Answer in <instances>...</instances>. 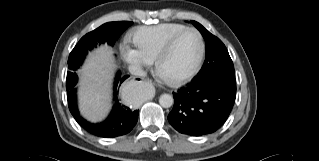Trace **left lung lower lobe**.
Instances as JSON below:
<instances>
[{"label":"left lung lower lobe","instance_id":"1","mask_svg":"<svg viewBox=\"0 0 319 161\" xmlns=\"http://www.w3.org/2000/svg\"><path fill=\"white\" fill-rule=\"evenodd\" d=\"M168 121L178 132L201 136L215 132L228 118L236 98V84L221 79L195 80L173 92Z\"/></svg>","mask_w":319,"mask_h":161}]
</instances>
